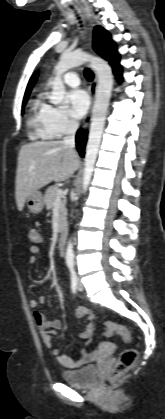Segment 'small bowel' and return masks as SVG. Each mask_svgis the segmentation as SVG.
<instances>
[{
  "label": "small bowel",
  "mask_w": 165,
  "mask_h": 419,
  "mask_svg": "<svg viewBox=\"0 0 165 419\" xmlns=\"http://www.w3.org/2000/svg\"><path fill=\"white\" fill-rule=\"evenodd\" d=\"M30 231L36 232L35 230ZM39 243L40 238L37 243H33L29 248L30 257L28 258V263L30 265H34L37 262V256L40 254L41 251ZM43 301V297H40L38 299H32L30 301V307L34 311V319L39 328L42 341L47 347L52 349V355L54 356L56 361L62 366L71 369L80 368L86 365L87 363L93 361L97 356V349L94 345L92 338L94 327L93 313L85 307H81L77 310V315L79 317L85 318L87 321L86 328L81 333V337L86 341L87 347L81 352L79 357L70 358L68 356L63 355L58 348L53 347V333L62 328V321L59 319H48L42 312H40L39 306Z\"/></svg>",
  "instance_id": "obj_1"
}]
</instances>
